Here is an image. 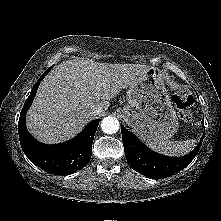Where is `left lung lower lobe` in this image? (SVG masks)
Wrapping results in <instances>:
<instances>
[{"mask_svg":"<svg viewBox=\"0 0 221 221\" xmlns=\"http://www.w3.org/2000/svg\"><path fill=\"white\" fill-rule=\"evenodd\" d=\"M204 125V121H202ZM124 152L128 164L137 172L150 178L168 177L185 168L197 155L204 135L199 144L189 154L182 157H168L146 147L135 135L121 126Z\"/></svg>","mask_w":221,"mask_h":221,"instance_id":"1","label":"left lung lower lobe"}]
</instances>
